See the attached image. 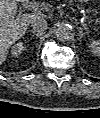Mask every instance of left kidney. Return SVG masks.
Instances as JSON below:
<instances>
[{
  "label": "left kidney",
  "instance_id": "obj_1",
  "mask_svg": "<svg viewBox=\"0 0 100 118\" xmlns=\"http://www.w3.org/2000/svg\"><path fill=\"white\" fill-rule=\"evenodd\" d=\"M91 52L94 55H99L100 54V42L98 40H94L90 44Z\"/></svg>",
  "mask_w": 100,
  "mask_h": 118
}]
</instances>
